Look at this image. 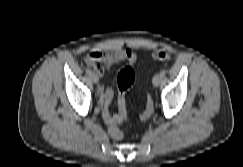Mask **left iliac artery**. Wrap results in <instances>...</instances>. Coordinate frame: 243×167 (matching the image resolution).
I'll list each match as a JSON object with an SVG mask.
<instances>
[{
  "label": "left iliac artery",
  "instance_id": "left-iliac-artery-1",
  "mask_svg": "<svg viewBox=\"0 0 243 167\" xmlns=\"http://www.w3.org/2000/svg\"><path fill=\"white\" fill-rule=\"evenodd\" d=\"M165 74H166V71H165V70H162V71L160 72V75H161L162 77H164Z\"/></svg>",
  "mask_w": 243,
  "mask_h": 167
}]
</instances>
